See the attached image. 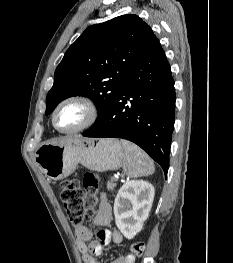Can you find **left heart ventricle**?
<instances>
[{
    "label": "left heart ventricle",
    "mask_w": 233,
    "mask_h": 263,
    "mask_svg": "<svg viewBox=\"0 0 233 263\" xmlns=\"http://www.w3.org/2000/svg\"><path fill=\"white\" fill-rule=\"evenodd\" d=\"M86 118L87 111L81 104L69 103L58 111L56 122L60 129L72 130L80 126Z\"/></svg>",
    "instance_id": "1"
}]
</instances>
